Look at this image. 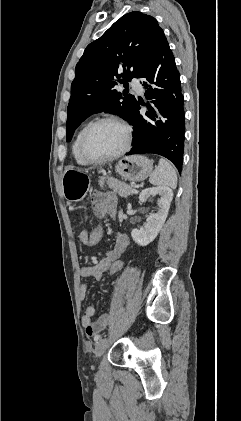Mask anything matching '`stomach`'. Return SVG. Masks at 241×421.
I'll list each match as a JSON object with an SVG mask.
<instances>
[{"label":"stomach","mask_w":241,"mask_h":421,"mask_svg":"<svg viewBox=\"0 0 241 421\" xmlns=\"http://www.w3.org/2000/svg\"><path fill=\"white\" fill-rule=\"evenodd\" d=\"M151 160L141 155L127 156L120 159L116 172L125 180L139 182L145 180L152 172ZM90 177L81 169L68 168L62 176V191L69 202L81 201L90 188Z\"/></svg>","instance_id":"stomach-1"}]
</instances>
